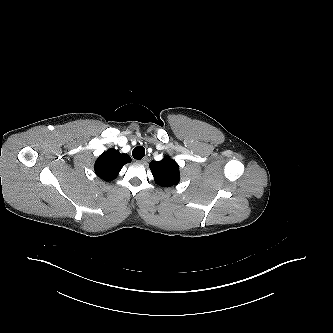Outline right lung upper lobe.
<instances>
[{
	"instance_id": "right-lung-upper-lobe-1",
	"label": "right lung upper lobe",
	"mask_w": 333,
	"mask_h": 333,
	"mask_svg": "<svg viewBox=\"0 0 333 333\" xmlns=\"http://www.w3.org/2000/svg\"><path fill=\"white\" fill-rule=\"evenodd\" d=\"M131 162L128 154L119 153L118 150L109 149L102 153L95 162L96 174L105 181L115 179L122 167Z\"/></svg>"
}]
</instances>
